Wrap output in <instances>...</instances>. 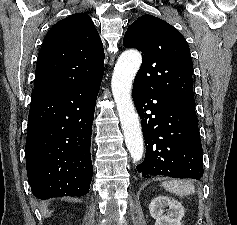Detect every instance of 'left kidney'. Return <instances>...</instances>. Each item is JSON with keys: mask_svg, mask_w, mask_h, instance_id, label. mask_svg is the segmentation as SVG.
Segmentation results:
<instances>
[{"mask_svg": "<svg viewBox=\"0 0 237 225\" xmlns=\"http://www.w3.org/2000/svg\"><path fill=\"white\" fill-rule=\"evenodd\" d=\"M149 211L156 220L155 225H182L181 220L185 211L182 204L167 196H157L150 205Z\"/></svg>", "mask_w": 237, "mask_h": 225, "instance_id": "5707ae66", "label": "left kidney"}]
</instances>
